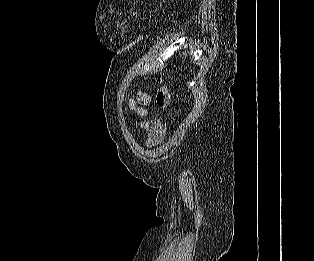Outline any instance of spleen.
Instances as JSON below:
<instances>
[{"instance_id": "obj_1", "label": "spleen", "mask_w": 314, "mask_h": 261, "mask_svg": "<svg viewBox=\"0 0 314 261\" xmlns=\"http://www.w3.org/2000/svg\"><path fill=\"white\" fill-rule=\"evenodd\" d=\"M182 54H183V55H184L185 57L187 56V53H186V51H185V52H183Z\"/></svg>"}]
</instances>
